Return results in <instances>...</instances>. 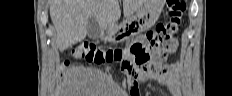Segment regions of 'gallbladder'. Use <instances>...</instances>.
I'll return each mask as SVG.
<instances>
[{
  "instance_id": "gallbladder-1",
  "label": "gallbladder",
  "mask_w": 232,
  "mask_h": 96,
  "mask_svg": "<svg viewBox=\"0 0 232 96\" xmlns=\"http://www.w3.org/2000/svg\"><path fill=\"white\" fill-rule=\"evenodd\" d=\"M102 29L94 16H90L87 24V35L90 39L100 38Z\"/></svg>"
}]
</instances>
